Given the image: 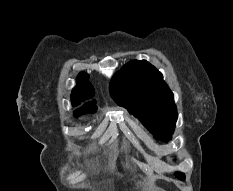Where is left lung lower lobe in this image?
<instances>
[{"label": "left lung lower lobe", "mask_w": 233, "mask_h": 191, "mask_svg": "<svg viewBox=\"0 0 233 191\" xmlns=\"http://www.w3.org/2000/svg\"><path fill=\"white\" fill-rule=\"evenodd\" d=\"M184 178H185V177H182V178H179V179H182V180H184Z\"/></svg>", "instance_id": "0a47b994"}]
</instances>
